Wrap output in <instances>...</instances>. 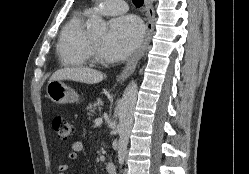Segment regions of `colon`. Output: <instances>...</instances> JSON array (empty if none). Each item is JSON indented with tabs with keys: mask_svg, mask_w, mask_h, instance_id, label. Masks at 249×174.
<instances>
[{
	"mask_svg": "<svg viewBox=\"0 0 249 174\" xmlns=\"http://www.w3.org/2000/svg\"><path fill=\"white\" fill-rule=\"evenodd\" d=\"M52 126L62 141H67L74 133L73 124L63 116H54Z\"/></svg>",
	"mask_w": 249,
	"mask_h": 174,
	"instance_id": "1",
	"label": "colon"
}]
</instances>
